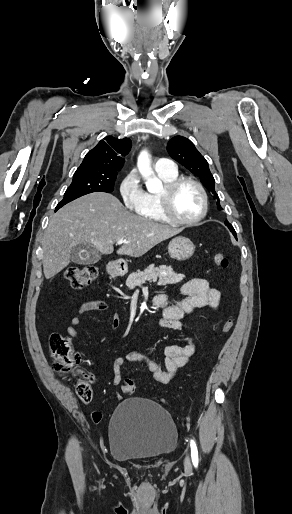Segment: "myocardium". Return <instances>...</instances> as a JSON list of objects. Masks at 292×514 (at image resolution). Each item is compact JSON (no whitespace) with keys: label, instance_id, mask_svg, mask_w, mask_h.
Segmentation results:
<instances>
[{"label":"myocardium","instance_id":"obj_1","mask_svg":"<svg viewBox=\"0 0 292 514\" xmlns=\"http://www.w3.org/2000/svg\"><path fill=\"white\" fill-rule=\"evenodd\" d=\"M184 185H191L197 189L200 195L201 207L198 215L190 220H181L176 217L172 211L171 207V197L173 193ZM156 199L159 205V208L164 215L165 219L173 224L181 225V226H191L199 221H201L207 212V195L203 186L192 179L189 178H177L169 183L163 185L162 190L156 194Z\"/></svg>","mask_w":292,"mask_h":514}]
</instances>
